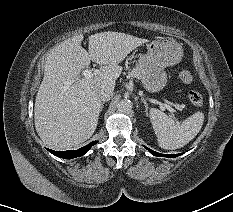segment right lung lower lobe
Instances as JSON below:
<instances>
[{"label": "right lung lower lobe", "instance_id": "right-lung-lower-lobe-1", "mask_svg": "<svg viewBox=\"0 0 233 212\" xmlns=\"http://www.w3.org/2000/svg\"><path fill=\"white\" fill-rule=\"evenodd\" d=\"M96 143H98V141H93L90 144H88V145H86L78 150L54 151V150L48 149V151L57 157L64 158V159H72V158H76V157H80V156L84 155Z\"/></svg>", "mask_w": 233, "mask_h": 212}]
</instances>
